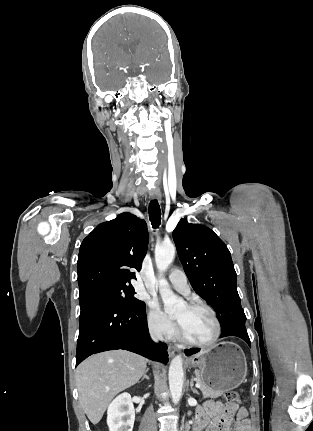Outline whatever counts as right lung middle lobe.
I'll return each instance as SVG.
<instances>
[{
  "label": "right lung middle lobe",
  "instance_id": "dd1d6c3e",
  "mask_svg": "<svg viewBox=\"0 0 313 431\" xmlns=\"http://www.w3.org/2000/svg\"><path fill=\"white\" fill-rule=\"evenodd\" d=\"M135 291L132 285H117L105 287L96 293L80 298V304L91 298H104L118 303L124 304L126 307L133 309L137 307H145V303L134 297Z\"/></svg>",
  "mask_w": 313,
  "mask_h": 431
}]
</instances>
